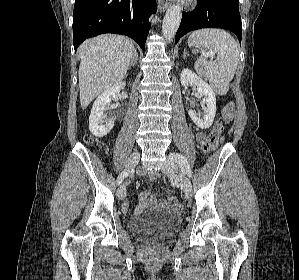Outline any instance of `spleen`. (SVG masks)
I'll list each match as a JSON object with an SVG mask.
<instances>
[{"label": "spleen", "instance_id": "3e777b00", "mask_svg": "<svg viewBox=\"0 0 299 280\" xmlns=\"http://www.w3.org/2000/svg\"><path fill=\"white\" fill-rule=\"evenodd\" d=\"M198 44L213 51L216 61H204L203 69L211 87L219 95H225L234 77L239 62V46L235 39L220 29H201L194 31L188 45Z\"/></svg>", "mask_w": 299, "mask_h": 280}]
</instances>
